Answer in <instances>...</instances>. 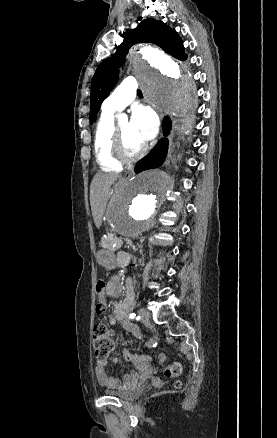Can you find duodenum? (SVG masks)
I'll list each match as a JSON object with an SVG mask.
<instances>
[{
	"label": "duodenum",
	"mask_w": 277,
	"mask_h": 438,
	"mask_svg": "<svg viewBox=\"0 0 277 438\" xmlns=\"http://www.w3.org/2000/svg\"><path fill=\"white\" fill-rule=\"evenodd\" d=\"M130 260V255L126 252H121L117 256V263L119 266H125Z\"/></svg>",
	"instance_id": "1"
}]
</instances>
